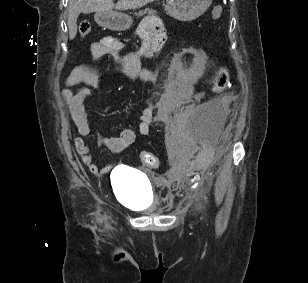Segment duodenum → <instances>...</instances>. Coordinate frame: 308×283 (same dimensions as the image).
<instances>
[{
  "mask_svg": "<svg viewBox=\"0 0 308 283\" xmlns=\"http://www.w3.org/2000/svg\"><path fill=\"white\" fill-rule=\"evenodd\" d=\"M156 42L158 43L159 41L157 40ZM153 45L155 46L156 44L154 43Z\"/></svg>",
  "mask_w": 308,
  "mask_h": 283,
  "instance_id": "1",
  "label": "duodenum"
}]
</instances>
